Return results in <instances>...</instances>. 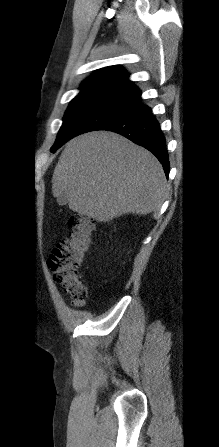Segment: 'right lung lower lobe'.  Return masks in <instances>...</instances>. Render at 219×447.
<instances>
[{"label":"right lung lower lobe","instance_id":"obj_1","mask_svg":"<svg viewBox=\"0 0 219 447\" xmlns=\"http://www.w3.org/2000/svg\"><path fill=\"white\" fill-rule=\"evenodd\" d=\"M97 130H109L123 135L152 152L169 175L168 152L165 137L150 107L141 104L136 109L112 119Z\"/></svg>","mask_w":219,"mask_h":447}]
</instances>
